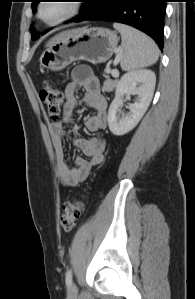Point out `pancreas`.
Returning <instances> with one entry per match:
<instances>
[{"label": "pancreas", "instance_id": "cf45deb5", "mask_svg": "<svg viewBox=\"0 0 195 299\" xmlns=\"http://www.w3.org/2000/svg\"><path fill=\"white\" fill-rule=\"evenodd\" d=\"M117 82H118L117 79H116V80H111V79L107 78V79L104 81V83H103L102 90H103V91H107V92L112 91V90L116 87Z\"/></svg>", "mask_w": 195, "mask_h": 299}]
</instances>
